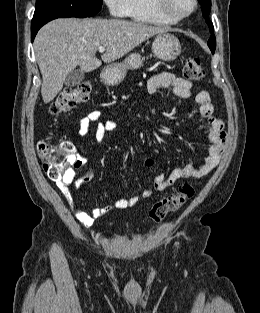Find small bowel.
<instances>
[{
	"label": "small bowel",
	"instance_id": "c3829d8e",
	"mask_svg": "<svg viewBox=\"0 0 260 313\" xmlns=\"http://www.w3.org/2000/svg\"><path fill=\"white\" fill-rule=\"evenodd\" d=\"M191 88L192 84L188 80L165 72L152 76L147 83V90L150 94H156L162 89H169L174 96L182 99H187L192 96ZM195 99L199 105L200 113L209 124V140L211 145L206 153L203 164L197 167L191 164L178 167L168 176L164 173L157 174L153 189L144 190L141 195L142 198H150L154 191L163 192L182 178L204 177L219 163L226 148L224 123L222 119L215 114L210 95L206 90L199 91ZM100 118L101 112L97 109L89 111L85 116L80 118L79 135L82 137L86 136L90 127L94 126L97 139L102 140L106 133L112 132L117 128V123L114 120L101 121ZM71 160V168H69L67 173L57 183V186L62 192L68 207L83 226L91 227L96 219L102 217L111 209L131 208L140 201V197L137 196L127 199H117L106 206L93 207L90 211H85L78 204L72 191V188L76 189L79 187V184L75 182L76 169L82 165V159L79 155L74 154ZM144 163L148 167L153 165V161L149 158L145 159ZM88 178L89 176L86 175L83 177V180Z\"/></svg>",
	"mask_w": 260,
	"mask_h": 313
}]
</instances>
